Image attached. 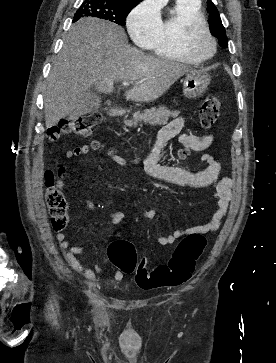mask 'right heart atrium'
Instances as JSON below:
<instances>
[{"label": "right heart atrium", "mask_w": 276, "mask_h": 363, "mask_svg": "<svg viewBox=\"0 0 276 363\" xmlns=\"http://www.w3.org/2000/svg\"><path fill=\"white\" fill-rule=\"evenodd\" d=\"M160 24V6L156 0H143L127 17L129 34L140 45H148L155 38Z\"/></svg>", "instance_id": "right-heart-atrium-1"}]
</instances>
